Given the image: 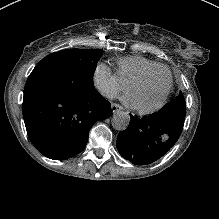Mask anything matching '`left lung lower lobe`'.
<instances>
[{
	"instance_id": "left-lung-lower-lobe-1",
	"label": "left lung lower lobe",
	"mask_w": 219,
	"mask_h": 219,
	"mask_svg": "<svg viewBox=\"0 0 219 219\" xmlns=\"http://www.w3.org/2000/svg\"><path fill=\"white\" fill-rule=\"evenodd\" d=\"M182 129L183 122L170 116L153 114L142 119L131 116L129 128L117 137V149L134 164H149L170 150Z\"/></svg>"
}]
</instances>
